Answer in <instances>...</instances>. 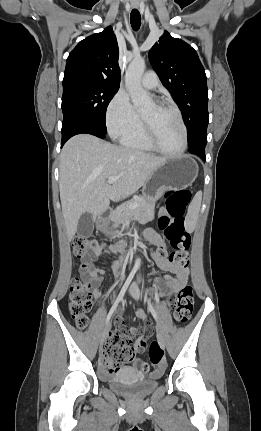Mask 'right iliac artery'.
Here are the masks:
<instances>
[{
  "mask_svg": "<svg viewBox=\"0 0 261 431\" xmlns=\"http://www.w3.org/2000/svg\"><path fill=\"white\" fill-rule=\"evenodd\" d=\"M135 273H136V269L134 268V269H132V271L130 272V274H129L128 278L126 279V281H125V283H124V285H123V287H122V289H121V291H120V293H119V295H118L117 299L115 300V302H114L113 306L111 307V309H110V311H109V313H108V315H107L106 322H105V324H106V325L108 324V322H109L110 318L112 317V315H113V313H114V311H115L116 307L118 306L119 302L123 299L124 294H125V292H126V290H127L128 286H129V284L131 283V281H132V279H133V277H134Z\"/></svg>",
  "mask_w": 261,
  "mask_h": 431,
  "instance_id": "obj_1",
  "label": "right iliac artery"
}]
</instances>
